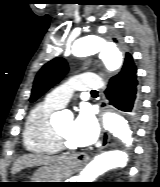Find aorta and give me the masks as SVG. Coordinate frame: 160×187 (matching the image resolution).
Returning <instances> with one entry per match:
<instances>
[{
  "label": "aorta",
  "instance_id": "762f6f07",
  "mask_svg": "<svg viewBox=\"0 0 160 187\" xmlns=\"http://www.w3.org/2000/svg\"><path fill=\"white\" fill-rule=\"evenodd\" d=\"M73 54L78 57H86L98 54L109 71H115L122 64V53L115 44L99 35H88L77 39L72 47ZM58 117L65 113H57ZM104 128L126 147L133 142V131L128 121L117 113H106L103 116ZM125 147H119L105 151L97 155L80 173L78 182H93L103 173L117 168H122L128 160Z\"/></svg>",
  "mask_w": 160,
  "mask_h": 187
}]
</instances>
